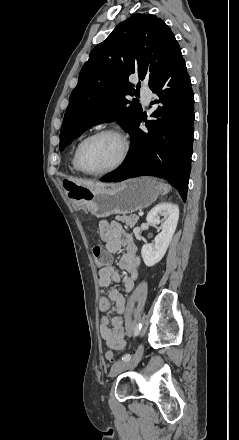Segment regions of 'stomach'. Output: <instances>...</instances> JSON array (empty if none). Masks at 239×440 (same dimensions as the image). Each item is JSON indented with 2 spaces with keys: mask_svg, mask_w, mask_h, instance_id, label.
<instances>
[{
  "mask_svg": "<svg viewBox=\"0 0 239 440\" xmlns=\"http://www.w3.org/2000/svg\"><path fill=\"white\" fill-rule=\"evenodd\" d=\"M70 198L83 210L96 218H107L111 214H132L151 206L162 192V186L154 178H132L112 188H84L70 182Z\"/></svg>",
  "mask_w": 239,
  "mask_h": 440,
  "instance_id": "stomach-1",
  "label": "stomach"
}]
</instances>
